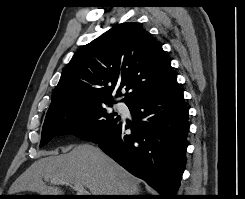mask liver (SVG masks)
<instances>
[{
	"label": "liver",
	"instance_id": "liver-1",
	"mask_svg": "<svg viewBox=\"0 0 245 199\" xmlns=\"http://www.w3.org/2000/svg\"><path fill=\"white\" fill-rule=\"evenodd\" d=\"M80 183L91 195H136L139 181L99 148L81 144L69 153L34 162L11 186L10 193L32 191L60 195L58 187L46 185Z\"/></svg>",
	"mask_w": 245,
	"mask_h": 199
}]
</instances>
